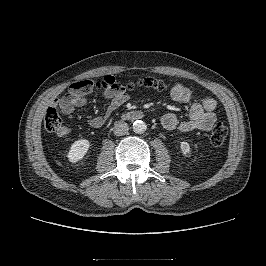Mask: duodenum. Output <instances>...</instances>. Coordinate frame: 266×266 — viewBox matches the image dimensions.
Instances as JSON below:
<instances>
[{
  "label": "duodenum",
  "mask_w": 266,
  "mask_h": 266,
  "mask_svg": "<svg viewBox=\"0 0 266 266\" xmlns=\"http://www.w3.org/2000/svg\"><path fill=\"white\" fill-rule=\"evenodd\" d=\"M124 118L129 119V120H137L141 119L144 116V113L140 110H134V111H129L125 113Z\"/></svg>",
  "instance_id": "obj_1"
}]
</instances>
